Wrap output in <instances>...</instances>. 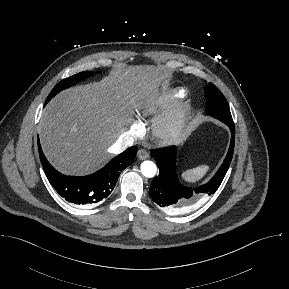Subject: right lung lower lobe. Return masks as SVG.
Listing matches in <instances>:
<instances>
[{
    "label": "right lung lower lobe",
    "instance_id": "1",
    "mask_svg": "<svg viewBox=\"0 0 289 289\" xmlns=\"http://www.w3.org/2000/svg\"><path fill=\"white\" fill-rule=\"evenodd\" d=\"M38 150L45 174L59 195L74 204L94 205L110 195L120 173L134 162L137 147H129L101 170L83 177L66 176L58 172L47 161L39 141Z\"/></svg>",
    "mask_w": 289,
    "mask_h": 289
}]
</instances>
